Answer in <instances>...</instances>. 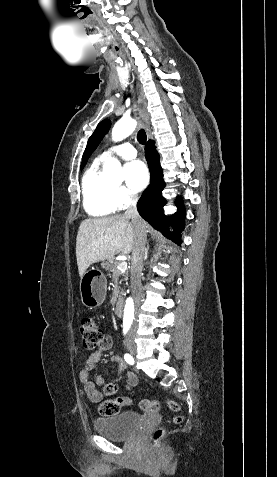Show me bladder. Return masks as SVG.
Listing matches in <instances>:
<instances>
[{
    "label": "bladder",
    "mask_w": 277,
    "mask_h": 477,
    "mask_svg": "<svg viewBox=\"0 0 277 477\" xmlns=\"http://www.w3.org/2000/svg\"><path fill=\"white\" fill-rule=\"evenodd\" d=\"M142 424L140 414L133 411H124L105 415L94 421L97 433L114 441H124L134 436Z\"/></svg>",
    "instance_id": "31cf9c89"
}]
</instances>
